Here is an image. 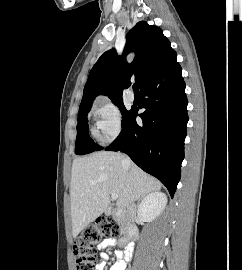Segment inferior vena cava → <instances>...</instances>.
<instances>
[{"mask_svg":"<svg viewBox=\"0 0 242 270\" xmlns=\"http://www.w3.org/2000/svg\"><path fill=\"white\" fill-rule=\"evenodd\" d=\"M123 165L125 167H130L131 165V161L128 157H125L123 159ZM127 213H128V217L130 220H134L135 219V216H136V205L134 202H132L129 206H128V209H127Z\"/></svg>","mask_w":242,"mask_h":270,"instance_id":"602c4592","label":"inferior vena cava"}]
</instances>
